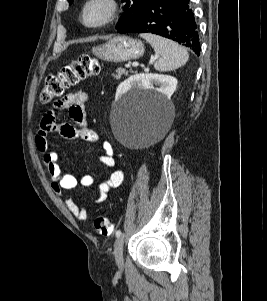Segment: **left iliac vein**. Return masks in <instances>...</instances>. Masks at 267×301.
Here are the masks:
<instances>
[{
  "mask_svg": "<svg viewBox=\"0 0 267 301\" xmlns=\"http://www.w3.org/2000/svg\"><path fill=\"white\" fill-rule=\"evenodd\" d=\"M123 245H124V234L120 235L114 244V257L116 264L119 268L123 267L124 259H123Z\"/></svg>",
  "mask_w": 267,
  "mask_h": 301,
  "instance_id": "left-iliac-vein-1",
  "label": "left iliac vein"
}]
</instances>
